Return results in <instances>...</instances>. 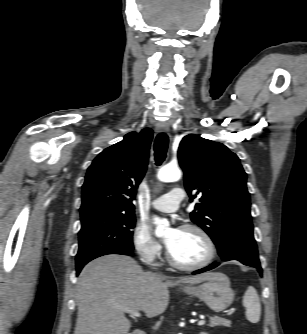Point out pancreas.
Returning a JSON list of instances; mask_svg holds the SVG:
<instances>
[{
  "instance_id": "cf45deb5",
  "label": "pancreas",
  "mask_w": 307,
  "mask_h": 334,
  "mask_svg": "<svg viewBox=\"0 0 307 334\" xmlns=\"http://www.w3.org/2000/svg\"><path fill=\"white\" fill-rule=\"evenodd\" d=\"M208 326L210 327H216V326L230 327L231 321L228 319H224L222 317L213 316V317H210V323L208 324Z\"/></svg>"
}]
</instances>
